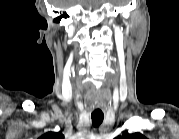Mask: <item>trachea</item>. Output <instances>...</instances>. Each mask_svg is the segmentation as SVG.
<instances>
[{"mask_svg":"<svg viewBox=\"0 0 179 139\" xmlns=\"http://www.w3.org/2000/svg\"><path fill=\"white\" fill-rule=\"evenodd\" d=\"M91 118L93 126L98 127L103 122L104 114L102 111H94L91 114Z\"/></svg>","mask_w":179,"mask_h":139,"instance_id":"obj_1","label":"trachea"}]
</instances>
